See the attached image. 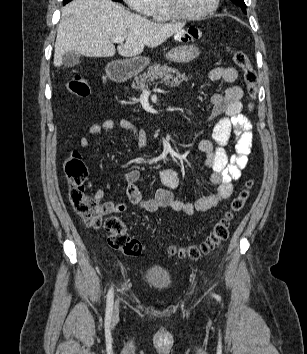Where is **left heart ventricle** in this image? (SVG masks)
Instances as JSON below:
<instances>
[{
  "label": "left heart ventricle",
  "mask_w": 307,
  "mask_h": 354,
  "mask_svg": "<svg viewBox=\"0 0 307 354\" xmlns=\"http://www.w3.org/2000/svg\"><path fill=\"white\" fill-rule=\"evenodd\" d=\"M213 0H177L180 9L187 14H199L206 11Z\"/></svg>",
  "instance_id": "obj_1"
}]
</instances>
